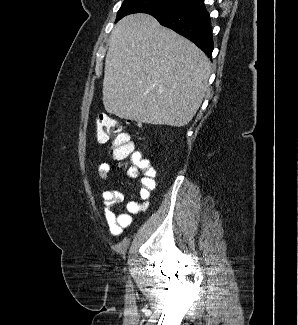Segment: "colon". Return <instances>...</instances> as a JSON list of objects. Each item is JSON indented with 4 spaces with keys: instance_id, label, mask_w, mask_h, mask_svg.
I'll return each instance as SVG.
<instances>
[{
    "instance_id": "5ec220e1",
    "label": "colon",
    "mask_w": 298,
    "mask_h": 325,
    "mask_svg": "<svg viewBox=\"0 0 298 325\" xmlns=\"http://www.w3.org/2000/svg\"><path fill=\"white\" fill-rule=\"evenodd\" d=\"M96 138L99 143L111 142L112 154L116 159H129L131 167L128 174L132 177L138 173H144L153 168L151 163L142 158L134 146L129 136L122 132L121 123L118 119L102 113L95 120Z\"/></svg>"
}]
</instances>
